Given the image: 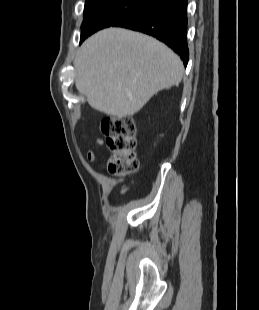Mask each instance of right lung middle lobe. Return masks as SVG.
<instances>
[{
    "label": "right lung middle lobe",
    "mask_w": 259,
    "mask_h": 310,
    "mask_svg": "<svg viewBox=\"0 0 259 310\" xmlns=\"http://www.w3.org/2000/svg\"><path fill=\"white\" fill-rule=\"evenodd\" d=\"M157 0H107L84 8L80 41L155 4Z\"/></svg>",
    "instance_id": "1"
}]
</instances>
